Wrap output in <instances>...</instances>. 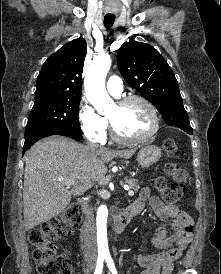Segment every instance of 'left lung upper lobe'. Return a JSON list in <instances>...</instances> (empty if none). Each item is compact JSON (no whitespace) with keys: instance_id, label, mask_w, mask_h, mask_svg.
Instances as JSON below:
<instances>
[{"instance_id":"5c2ea615","label":"left lung upper lobe","mask_w":221,"mask_h":274,"mask_svg":"<svg viewBox=\"0 0 221 274\" xmlns=\"http://www.w3.org/2000/svg\"><path fill=\"white\" fill-rule=\"evenodd\" d=\"M117 64L126 82L156 106L163 118L184 107L172 69L151 45L136 41L126 43L118 50Z\"/></svg>"}]
</instances>
